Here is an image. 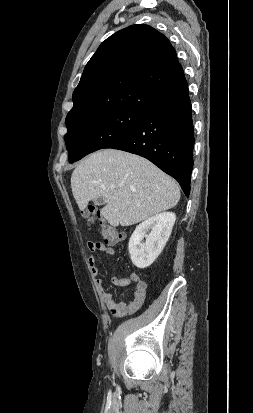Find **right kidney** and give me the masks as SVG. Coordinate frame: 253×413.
<instances>
[{"instance_id": "obj_1", "label": "right kidney", "mask_w": 253, "mask_h": 413, "mask_svg": "<svg viewBox=\"0 0 253 413\" xmlns=\"http://www.w3.org/2000/svg\"><path fill=\"white\" fill-rule=\"evenodd\" d=\"M175 220V213L163 212L136 227L128 244L131 261L136 267L146 268L156 260L171 235ZM149 230L151 232L146 235ZM144 237L146 241L142 243Z\"/></svg>"}]
</instances>
